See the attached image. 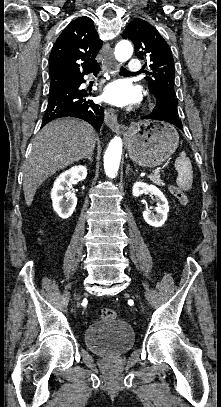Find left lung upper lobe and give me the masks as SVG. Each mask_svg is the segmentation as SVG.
I'll list each match as a JSON object with an SVG mask.
<instances>
[{"label": "left lung upper lobe", "mask_w": 221, "mask_h": 407, "mask_svg": "<svg viewBox=\"0 0 221 407\" xmlns=\"http://www.w3.org/2000/svg\"><path fill=\"white\" fill-rule=\"evenodd\" d=\"M122 37L131 39L137 57L149 63L151 71L148 75L151 77H146V80L149 90L156 99L167 94L172 98L173 106L177 107L174 90V60L164 38L155 27L138 18L127 25Z\"/></svg>", "instance_id": "left-lung-upper-lobe-1"}]
</instances>
